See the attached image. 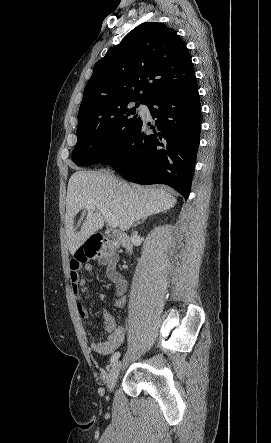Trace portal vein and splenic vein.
Returning <instances> with one entry per match:
<instances>
[{
    "instance_id": "1",
    "label": "portal vein and splenic vein",
    "mask_w": 271,
    "mask_h": 443,
    "mask_svg": "<svg viewBox=\"0 0 271 443\" xmlns=\"http://www.w3.org/2000/svg\"><path fill=\"white\" fill-rule=\"evenodd\" d=\"M84 208H86V210H94V208H97V210H99V212H101L102 216H104L105 220L107 223H109V225H111V227H117V225H119V222L117 220V218H115L114 214H112V212H109V210H107V208H105V206H102V204H97V202H93V204H85Z\"/></svg>"
}]
</instances>
